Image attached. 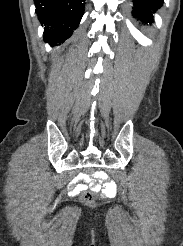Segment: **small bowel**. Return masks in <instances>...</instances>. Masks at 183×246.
<instances>
[{"mask_svg":"<svg viewBox=\"0 0 183 246\" xmlns=\"http://www.w3.org/2000/svg\"><path fill=\"white\" fill-rule=\"evenodd\" d=\"M108 171L107 170H96L95 174H93V178H88L87 174H78L75 178V181L84 179V183H91L90 188L94 191H99L100 186L98 184H94L95 182H103L104 189L103 194L105 198H115L116 194L115 185L116 182L114 181V177H107ZM88 188L87 184H75L73 183L71 187V194L70 197L74 198L75 195L85 191Z\"/></svg>","mask_w":183,"mask_h":246,"instance_id":"obj_1","label":"small bowel"}]
</instances>
